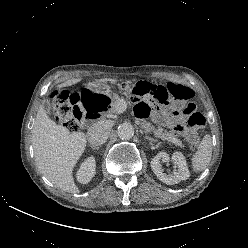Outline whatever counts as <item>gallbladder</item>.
I'll return each instance as SVG.
<instances>
[{
    "label": "gallbladder",
    "mask_w": 248,
    "mask_h": 248,
    "mask_svg": "<svg viewBox=\"0 0 248 248\" xmlns=\"http://www.w3.org/2000/svg\"><path fill=\"white\" fill-rule=\"evenodd\" d=\"M43 107H44L45 111H47L48 113H51L52 105L49 101H44Z\"/></svg>",
    "instance_id": "gallbladder-1"
}]
</instances>
